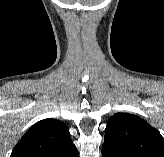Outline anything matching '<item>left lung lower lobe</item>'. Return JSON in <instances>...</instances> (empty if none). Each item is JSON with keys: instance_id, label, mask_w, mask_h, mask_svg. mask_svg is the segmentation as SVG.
Listing matches in <instances>:
<instances>
[{"instance_id": "obj_1", "label": "left lung lower lobe", "mask_w": 164, "mask_h": 157, "mask_svg": "<svg viewBox=\"0 0 164 157\" xmlns=\"http://www.w3.org/2000/svg\"><path fill=\"white\" fill-rule=\"evenodd\" d=\"M102 157H127L122 154L118 149H116L111 144L104 141L102 145Z\"/></svg>"}]
</instances>
